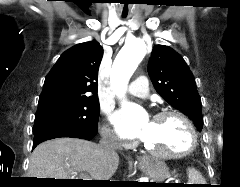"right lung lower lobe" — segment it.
Masks as SVG:
<instances>
[{"label": "right lung lower lobe", "mask_w": 240, "mask_h": 187, "mask_svg": "<svg viewBox=\"0 0 240 187\" xmlns=\"http://www.w3.org/2000/svg\"><path fill=\"white\" fill-rule=\"evenodd\" d=\"M96 133L97 130L90 133H81L59 127L48 128L37 134H34L33 148L46 140L59 137H72L90 140L96 135Z\"/></svg>", "instance_id": "98d812e1"}]
</instances>
